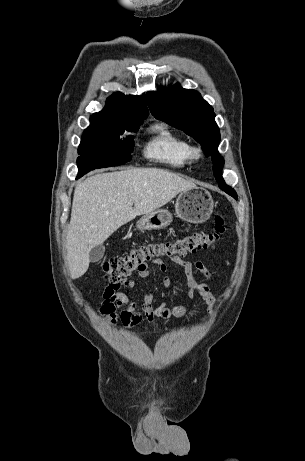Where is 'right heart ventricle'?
Listing matches in <instances>:
<instances>
[{
	"mask_svg": "<svg viewBox=\"0 0 305 461\" xmlns=\"http://www.w3.org/2000/svg\"><path fill=\"white\" fill-rule=\"evenodd\" d=\"M191 147L188 140L165 125L157 124L153 127V136L147 142L144 153L148 158L173 168H181L193 158Z\"/></svg>",
	"mask_w": 305,
	"mask_h": 461,
	"instance_id": "1",
	"label": "right heart ventricle"
}]
</instances>
